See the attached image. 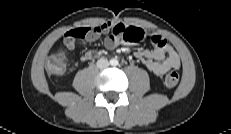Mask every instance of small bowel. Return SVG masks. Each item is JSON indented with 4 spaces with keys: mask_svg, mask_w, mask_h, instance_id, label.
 <instances>
[{
    "mask_svg": "<svg viewBox=\"0 0 231 134\" xmlns=\"http://www.w3.org/2000/svg\"><path fill=\"white\" fill-rule=\"evenodd\" d=\"M106 33L110 34L106 37L104 45L109 50L115 49L120 45L134 44L146 35L141 28L126 26L121 22L115 21L99 26L70 30L64 35L63 41L67 49L74 50L76 39L82 38L86 42H93ZM148 37L154 45V49L137 51L135 57L157 76L164 75L171 69H178L180 67V57L173 46L158 33L151 32L148 34ZM98 55V51L87 50L81 55L80 59L88 61Z\"/></svg>",
    "mask_w": 231,
    "mask_h": 134,
    "instance_id": "obj_1",
    "label": "small bowel"
}]
</instances>
